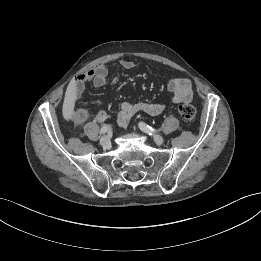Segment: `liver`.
Here are the masks:
<instances>
[{
    "instance_id": "obj_1",
    "label": "liver",
    "mask_w": 261,
    "mask_h": 261,
    "mask_svg": "<svg viewBox=\"0 0 261 261\" xmlns=\"http://www.w3.org/2000/svg\"><path fill=\"white\" fill-rule=\"evenodd\" d=\"M76 98L77 84L72 80L67 86L63 103V115L66 119H70L73 116Z\"/></svg>"
}]
</instances>
